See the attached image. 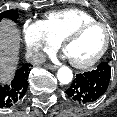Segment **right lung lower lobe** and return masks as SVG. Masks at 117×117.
Wrapping results in <instances>:
<instances>
[{
  "label": "right lung lower lobe",
  "instance_id": "98d812e1",
  "mask_svg": "<svg viewBox=\"0 0 117 117\" xmlns=\"http://www.w3.org/2000/svg\"><path fill=\"white\" fill-rule=\"evenodd\" d=\"M30 70L31 65L25 64L16 71L9 85H0V108L16 105L23 98L28 88Z\"/></svg>",
  "mask_w": 117,
  "mask_h": 117
}]
</instances>
